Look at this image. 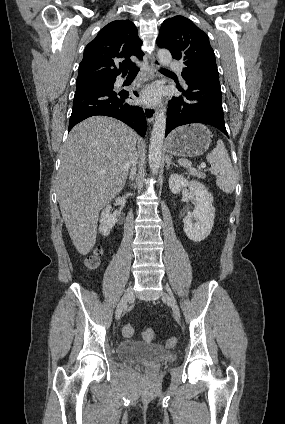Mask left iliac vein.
I'll list each match as a JSON object with an SVG mask.
<instances>
[{"instance_id": "1", "label": "left iliac vein", "mask_w": 285, "mask_h": 424, "mask_svg": "<svg viewBox=\"0 0 285 424\" xmlns=\"http://www.w3.org/2000/svg\"><path fill=\"white\" fill-rule=\"evenodd\" d=\"M162 298H164L165 300H167V302L170 304L174 317L177 321L180 320V310L179 307L174 299V297L168 293V292H163L162 293Z\"/></svg>"}]
</instances>
